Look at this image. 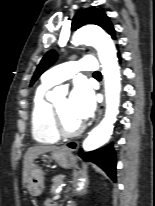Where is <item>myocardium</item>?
I'll return each mask as SVG.
<instances>
[{
    "label": "myocardium",
    "instance_id": "obj_1",
    "mask_svg": "<svg viewBox=\"0 0 155 206\" xmlns=\"http://www.w3.org/2000/svg\"><path fill=\"white\" fill-rule=\"evenodd\" d=\"M51 114H52L53 125L59 135L65 136V137H73L83 132L84 130L83 123H80L78 126L73 127V128L67 127L64 124L63 119L58 109L56 108L55 104H51Z\"/></svg>",
    "mask_w": 155,
    "mask_h": 206
}]
</instances>
